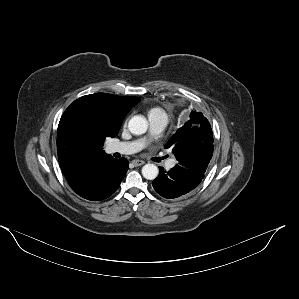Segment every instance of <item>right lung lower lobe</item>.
<instances>
[{
    "mask_svg": "<svg viewBox=\"0 0 299 299\" xmlns=\"http://www.w3.org/2000/svg\"><path fill=\"white\" fill-rule=\"evenodd\" d=\"M128 166L125 158L114 159L109 156L94 160L69 184L78 195L87 200H103L117 190Z\"/></svg>",
    "mask_w": 299,
    "mask_h": 299,
    "instance_id": "right-lung-lower-lobe-1",
    "label": "right lung lower lobe"
}]
</instances>
